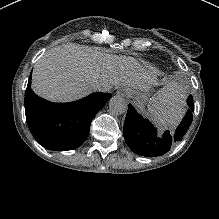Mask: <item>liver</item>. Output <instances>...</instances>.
<instances>
[{"instance_id": "6515ba94", "label": "liver", "mask_w": 219, "mask_h": 219, "mask_svg": "<svg viewBox=\"0 0 219 219\" xmlns=\"http://www.w3.org/2000/svg\"><path fill=\"white\" fill-rule=\"evenodd\" d=\"M100 61L88 47H73L42 60L36 67L34 86L46 97L76 99L95 90L94 80L99 76ZM126 87V80H118Z\"/></svg>"}]
</instances>
